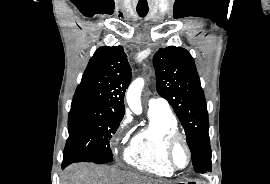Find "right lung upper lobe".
<instances>
[{"instance_id":"1","label":"right lung upper lobe","mask_w":270,"mask_h":184,"mask_svg":"<svg viewBox=\"0 0 270 184\" xmlns=\"http://www.w3.org/2000/svg\"><path fill=\"white\" fill-rule=\"evenodd\" d=\"M130 82L131 67L123 47H100L90 59L72 102L90 104L101 113L122 119Z\"/></svg>"}]
</instances>
